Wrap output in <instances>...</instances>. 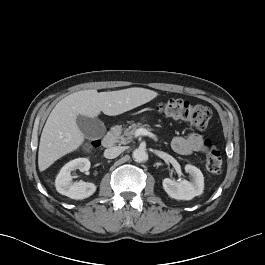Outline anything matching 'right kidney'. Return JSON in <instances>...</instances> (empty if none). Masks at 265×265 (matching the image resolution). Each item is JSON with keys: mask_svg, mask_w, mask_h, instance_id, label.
<instances>
[{"mask_svg": "<svg viewBox=\"0 0 265 265\" xmlns=\"http://www.w3.org/2000/svg\"><path fill=\"white\" fill-rule=\"evenodd\" d=\"M79 169L81 172L90 169L87 158H77L65 164L55 180L56 190L71 199L81 200L90 197L96 191L94 183L79 181L72 182L71 172Z\"/></svg>", "mask_w": 265, "mask_h": 265, "instance_id": "obj_1", "label": "right kidney"}]
</instances>
